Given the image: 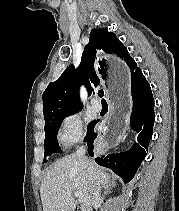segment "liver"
I'll use <instances>...</instances> for the list:
<instances>
[{
  "label": "liver",
  "mask_w": 179,
  "mask_h": 211,
  "mask_svg": "<svg viewBox=\"0 0 179 211\" xmlns=\"http://www.w3.org/2000/svg\"><path fill=\"white\" fill-rule=\"evenodd\" d=\"M92 164L89 175L80 165L76 154L57 160L50 166L40 185V196L44 211H75L76 200L73 192H81V210L92 211L96 205L93 191L97 184L109 188L110 176Z\"/></svg>",
  "instance_id": "obj_1"
}]
</instances>
